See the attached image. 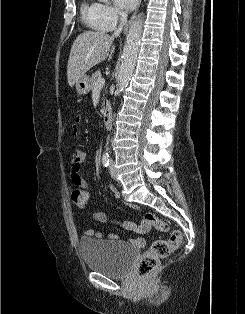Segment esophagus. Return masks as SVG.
I'll return each instance as SVG.
<instances>
[{
  "label": "esophagus",
  "mask_w": 245,
  "mask_h": 314,
  "mask_svg": "<svg viewBox=\"0 0 245 314\" xmlns=\"http://www.w3.org/2000/svg\"><path fill=\"white\" fill-rule=\"evenodd\" d=\"M140 4H141V0H139L138 6H137L135 12H134L133 15L130 17L129 21L126 23V25H125V27H124V29H123V33H124V34H126V33L128 32L131 23L133 22L134 18L136 17L137 12H138L139 7H140Z\"/></svg>",
  "instance_id": "1"
}]
</instances>
